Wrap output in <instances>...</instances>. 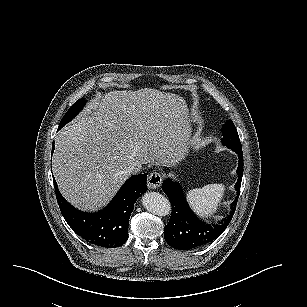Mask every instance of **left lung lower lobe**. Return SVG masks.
Segmentation results:
<instances>
[{"label":"left lung lower lobe","mask_w":307,"mask_h":307,"mask_svg":"<svg viewBox=\"0 0 307 307\" xmlns=\"http://www.w3.org/2000/svg\"><path fill=\"white\" fill-rule=\"evenodd\" d=\"M239 157L238 181L235 185L237 198L231 203L232 212L217 225H206L189 208L178 183L164 180L162 190L167 194L172 206V215L164 228L165 241L174 249L192 250L215 240L229 225L236 209L243 176V153L235 151Z\"/></svg>","instance_id":"left-lung-lower-lobe-1"}]
</instances>
